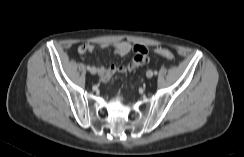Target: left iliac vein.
Listing matches in <instances>:
<instances>
[{"mask_svg": "<svg viewBox=\"0 0 244 157\" xmlns=\"http://www.w3.org/2000/svg\"><path fill=\"white\" fill-rule=\"evenodd\" d=\"M148 78H151L153 76V72L151 70L147 71L146 73Z\"/></svg>", "mask_w": 244, "mask_h": 157, "instance_id": "left-iliac-vein-1", "label": "left iliac vein"}]
</instances>
